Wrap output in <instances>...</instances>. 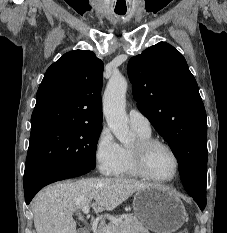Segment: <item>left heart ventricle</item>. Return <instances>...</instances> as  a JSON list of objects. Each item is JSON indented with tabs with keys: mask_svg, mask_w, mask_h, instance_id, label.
I'll return each instance as SVG.
<instances>
[{
	"mask_svg": "<svg viewBox=\"0 0 227 233\" xmlns=\"http://www.w3.org/2000/svg\"><path fill=\"white\" fill-rule=\"evenodd\" d=\"M147 166L151 174L158 178H169L175 171L174 158L171 153L163 147H156L149 153Z\"/></svg>",
	"mask_w": 227,
	"mask_h": 233,
	"instance_id": "b2bd125f",
	"label": "left heart ventricle"
}]
</instances>
